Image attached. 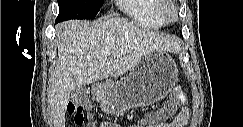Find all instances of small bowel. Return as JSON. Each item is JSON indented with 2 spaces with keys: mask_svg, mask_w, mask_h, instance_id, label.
I'll return each mask as SVG.
<instances>
[{
  "mask_svg": "<svg viewBox=\"0 0 243 127\" xmlns=\"http://www.w3.org/2000/svg\"><path fill=\"white\" fill-rule=\"evenodd\" d=\"M189 119V109L183 107L176 118L172 122H159L158 116L156 114L148 115L144 120H142L140 126L147 127H184L186 126ZM94 123H91L89 127H95ZM111 127H117L116 124H110Z\"/></svg>",
  "mask_w": 243,
  "mask_h": 127,
  "instance_id": "obj_1",
  "label": "small bowel"
}]
</instances>
